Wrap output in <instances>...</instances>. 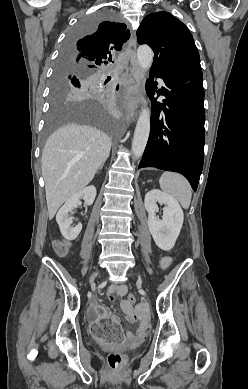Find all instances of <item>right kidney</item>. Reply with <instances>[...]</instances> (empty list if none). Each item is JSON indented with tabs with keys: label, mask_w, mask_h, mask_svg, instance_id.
I'll return each mask as SVG.
<instances>
[{
	"label": "right kidney",
	"mask_w": 248,
	"mask_h": 389,
	"mask_svg": "<svg viewBox=\"0 0 248 389\" xmlns=\"http://www.w3.org/2000/svg\"><path fill=\"white\" fill-rule=\"evenodd\" d=\"M95 197L96 188L94 186H88L70 197L60 208L56 215V221L59 225L61 234L66 240H75L82 230L81 223L77 224L75 227L71 226L72 219L69 218V213L77 207L81 198H84L85 204L89 206L93 204Z\"/></svg>",
	"instance_id": "obj_1"
}]
</instances>
